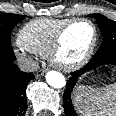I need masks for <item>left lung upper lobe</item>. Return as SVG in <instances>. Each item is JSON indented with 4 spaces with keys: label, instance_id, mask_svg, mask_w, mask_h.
I'll return each mask as SVG.
<instances>
[{
    "label": "left lung upper lobe",
    "instance_id": "left-lung-upper-lobe-1",
    "mask_svg": "<svg viewBox=\"0 0 116 116\" xmlns=\"http://www.w3.org/2000/svg\"><path fill=\"white\" fill-rule=\"evenodd\" d=\"M89 17L97 20L103 33V42L95 55H106L116 52V22L102 14H91Z\"/></svg>",
    "mask_w": 116,
    "mask_h": 116
}]
</instances>
